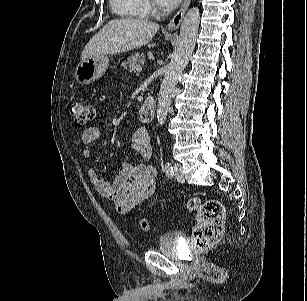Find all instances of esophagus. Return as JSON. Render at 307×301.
I'll return each instance as SVG.
<instances>
[{"label":"esophagus","mask_w":307,"mask_h":301,"mask_svg":"<svg viewBox=\"0 0 307 301\" xmlns=\"http://www.w3.org/2000/svg\"><path fill=\"white\" fill-rule=\"evenodd\" d=\"M191 0H184L181 8L179 9V11L174 15V17L169 21V23L167 24V30L168 31H174L176 29L179 28L182 19L185 15V12L190 4Z\"/></svg>","instance_id":"esophagus-1"}]
</instances>
